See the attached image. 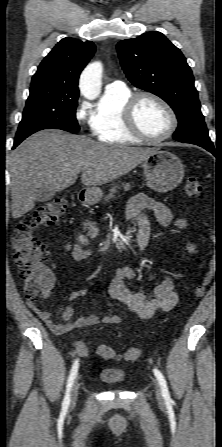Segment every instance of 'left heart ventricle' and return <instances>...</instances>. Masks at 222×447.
<instances>
[{
	"mask_svg": "<svg viewBox=\"0 0 222 447\" xmlns=\"http://www.w3.org/2000/svg\"><path fill=\"white\" fill-rule=\"evenodd\" d=\"M136 121L140 129L150 137L163 136L170 127L165 109L151 99L144 98L138 104Z\"/></svg>",
	"mask_w": 222,
	"mask_h": 447,
	"instance_id": "obj_1",
	"label": "left heart ventricle"
}]
</instances>
